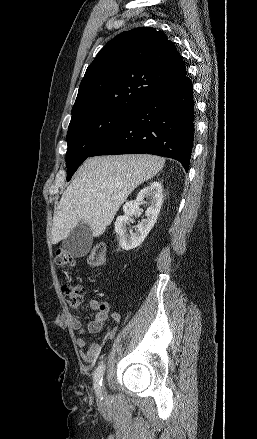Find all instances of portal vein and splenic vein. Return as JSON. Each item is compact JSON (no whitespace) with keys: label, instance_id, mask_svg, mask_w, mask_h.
I'll return each instance as SVG.
<instances>
[{"label":"portal vein and splenic vein","instance_id":"obj_1","mask_svg":"<svg viewBox=\"0 0 257 439\" xmlns=\"http://www.w3.org/2000/svg\"><path fill=\"white\" fill-rule=\"evenodd\" d=\"M98 197H99V198H104V197H105V194H99Z\"/></svg>","mask_w":257,"mask_h":439}]
</instances>
